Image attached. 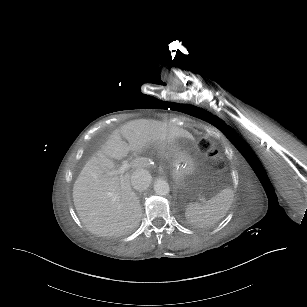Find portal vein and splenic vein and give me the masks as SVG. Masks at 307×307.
<instances>
[{
	"label": "portal vein and splenic vein",
	"instance_id": "obj_1",
	"mask_svg": "<svg viewBox=\"0 0 307 307\" xmlns=\"http://www.w3.org/2000/svg\"><path fill=\"white\" fill-rule=\"evenodd\" d=\"M121 163H122V165L120 167L121 169L108 171L107 175L111 176V177L116 176V175L122 176L124 174V172L127 171L128 168L132 167L133 164H134L132 160H130V159L128 160L126 157H123L121 159Z\"/></svg>",
	"mask_w": 307,
	"mask_h": 307
}]
</instances>
